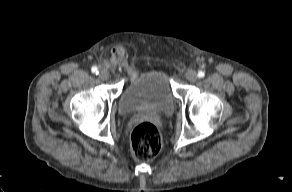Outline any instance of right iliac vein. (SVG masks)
Here are the masks:
<instances>
[{
	"label": "right iliac vein",
	"mask_w": 292,
	"mask_h": 192,
	"mask_svg": "<svg viewBox=\"0 0 292 192\" xmlns=\"http://www.w3.org/2000/svg\"><path fill=\"white\" fill-rule=\"evenodd\" d=\"M98 76L100 79L106 80L109 77V73L106 70L102 69L99 71Z\"/></svg>",
	"instance_id": "63e3f726"
}]
</instances>
